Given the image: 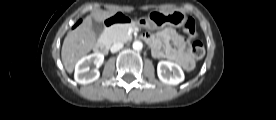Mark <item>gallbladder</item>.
<instances>
[{"label": "gallbladder", "mask_w": 276, "mask_h": 120, "mask_svg": "<svg viewBox=\"0 0 276 120\" xmlns=\"http://www.w3.org/2000/svg\"><path fill=\"white\" fill-rule=\"evenodd\" d=\"M92 30L96 37H99L104 30V25L102 22L93 21L92 22Z\"/></svg>", "instance_id": "obj_1"}]
</instances>
